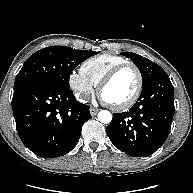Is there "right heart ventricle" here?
<instances>
[{"mask_svg": "<svg viewBox=\"0 0 193 193\" xmlns=\"http://www.w3.org/2000/svg\"><path fill=\"white\" fill-rule=\"evenodd\" d=\"M126 62L129 61L122 56L104 53L85 60L80 71L94 86H98L111 69Z\"/></svg>", "mask_w": 193, "mask_h": 193, "instance_id": "1", "label": "right heart ventricle"}]
</instances>
